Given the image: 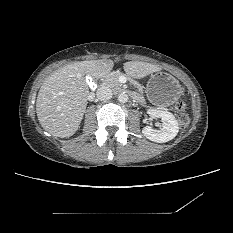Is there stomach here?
I'll return each instance as SVG.
<instances>
[{"label":"stomach","instance_id":"1","mask_svg":"<svg viewBox=\"0 0 233 233\" xmlns=\"http://www.w3.org/2000/svg\"><path fill=\"white\" fill-rule=\"evenodd\" d=\"M146 93L152 102L167 106L180 98L182 88L178 80L171 74L160 71L151 75Z\"/></svg>","mask_w":233,"mask_h":233}]
</instances>
